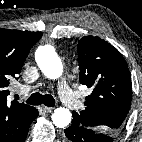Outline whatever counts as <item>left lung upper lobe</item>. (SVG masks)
Returning <instances> with one entry per match:
<instances>
[{"mask_svg":"<svg viewBox=\"0 0 142 142\" xmlns=\"http://www.w3.org/2000/svg\"><path fill=\"white\" fill-rule=\"evenodd\" d=\"M80 83L92 89L86 108L73 120L98 132L117 134L129 112L132 87L129 69L120 52L108 42L84 36L77 46Z\"/></svg>","mask_w":142,"mask_h":142,"instance_id":"left-lung-upper-lobe-1","label":"left lung upper lobe"}]
</instances>
